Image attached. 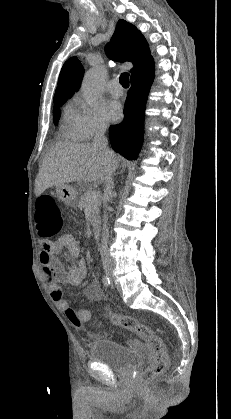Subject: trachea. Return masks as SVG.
Here are the masks:
<instances>
[{
    "instance_id": "obj_1",
    "label": "trachea",
    "mask_w": 231,
    "mask_h": 419,
    "mask_svg": "<svg viewBox=\"0 0 231 419\" xmlns=\"http://www.w3.org/2000/svg\"><path fill=\"white\" fill-rule=\"evenodd\" d=\"M119 81H120V84L123 87H129V74L128 73H122L120 75Z\"/></svg>"
}]
</instances>
